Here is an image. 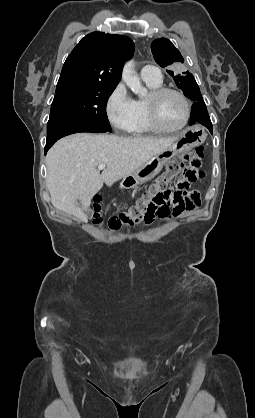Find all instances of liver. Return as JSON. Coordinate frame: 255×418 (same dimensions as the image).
Wrapping results in <instances>:
<instances>
[{"mask_svg": "<svg viewBox=\"0 0 255 418\" xmlns=\"http://www.w3.org/2000/svg\"><path fill=\"white\" fill-rule=\"evenodd\" d=\"M178 138L77 133L59 140L46 157V184L53 206L85 220L84 211L104 183L111 186L131 175ZM99 164L107 166L101 174Z\"/></svg>", "mask_w": 255, "mask_h": 418, "instance_id": "liver-1", "label": "liver"}]
</instances>
